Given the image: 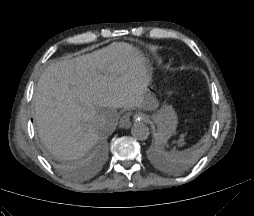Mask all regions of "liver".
Masks as SVG:
<instances>
[{
	"label": "liver",
	"instance_id": "liver-1",
	"mask_svg": "<svg viewBox=\"0 0 254 216\" xmlns=\"http://www.w3.org/2000/svg\"><path fill=\"white\" fill-rule=\"evenodd\" d=\"M143 60L125 43L51 63L34 93L35 121L46 148L58 159L83 157L111 133L117 109L152 110Z\"/></svg>",
	"mask_w": 254,
	"mask_h": 216
}]
</instances>
